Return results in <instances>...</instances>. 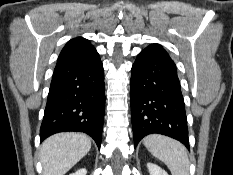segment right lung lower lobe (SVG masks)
<instances>
[{
	"label": "right lung lower lobe",
	"instance_id": "right-lung-lower-lobe-1",
	"mask_svg": "<svg viewBox=\"0 0 233 175\" xmlns=\"http://www.w3.org/2000/svg\"><path fill=\"white\" fill-rule=\"evenodd\" d=\"M104 109V71L96 50L56 65L40 129L41 142L58 132L79 131L90 135L100 148Z\"/></svg>",
	"mask_w": 233,
	"mask_h": 175
}]
</instances>
